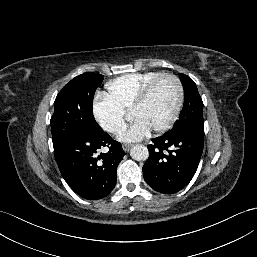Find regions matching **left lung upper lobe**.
<instances>
[{
    "mask_svg": "<svg viewBox=\"0 0 257 257\" xmlns=\"http://www.w3.org/2000/svg\"><path fill=\"white\" fill-rule=\"evenodd\" d=\"M179 77L184 88V106L179 119L167 133L170 135L190 129L204 130L203 102L196 84L185 74H180Z\"/></svg>",
    "mask_w": 257,
    "mask_h": 257,
    "instance_id": "obj_1",
    "label": "left lung upper lobe"
}]
</instances>
